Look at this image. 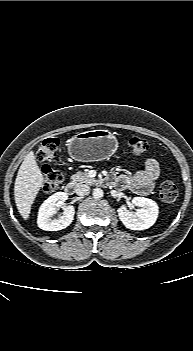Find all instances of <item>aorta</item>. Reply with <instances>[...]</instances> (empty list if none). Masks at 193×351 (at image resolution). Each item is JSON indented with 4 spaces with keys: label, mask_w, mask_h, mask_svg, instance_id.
Instances as JSON below:
<instances>
[{
    "label": "aorta",
    "mask_w": 193,
    "mask_h": 351,
    "mask_svg": "<svg viewBox=\"0 0 193 351\" xmlns=\"http://www.w3.org/2000/svg\"><path fill=\"white\" fill-rule=\"evenodd\" d=\"M92 195L95 199H100L103 197L104 192L101 188H95V189H93Z\"/></svg>",
    "instance_id": "aorta-1"
}]
</instances>
